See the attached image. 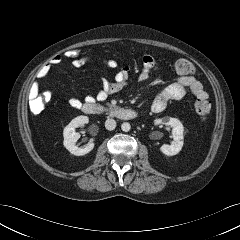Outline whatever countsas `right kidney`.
<instances>
[{"label":"right kidney","mask_w":240,"mask_h":240,"mask_svg":"<svg viewBox=\"0 0 240 240\" xmlns=\"http://www.w3.org/2000/svg\"><path fill=\"white\" fill-rule=\"evenodd\" d=\"M88 121H89V119L87 116L81 115V116H78V117L72 119V121L64 128L63 144L66 147V149L73 155L83 156V155L89 153L90 151H92L94 148L93 142L88 143L84 148H79L76 146V142L80 138V134L75 132V129L78 126L87 124Z\"/></svg>","instance_id":"1"}]
</instances>
